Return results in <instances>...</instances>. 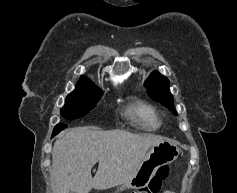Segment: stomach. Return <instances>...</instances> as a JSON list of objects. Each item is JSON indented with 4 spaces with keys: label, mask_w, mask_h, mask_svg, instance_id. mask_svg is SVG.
<instances>
[{
    "label": "stomach",
    "mask_w": 237,
    "mask_h": 193,
    "mask_svg": "<svg viewBox=\"0 0 237 193\" xmlns=\"http://www.w3.org/2000/svg\"><path fill=\"white\" fill-rule=\"evenodd\" d=\"M178 155V146L170 140H163L152 146L146 153L144 160L133 178L118 187L114 193H120L126 188L140 189L145 187L160 166L175 161Z\"/></svg>",
    "instance_id": "1"
}]
</instances>
